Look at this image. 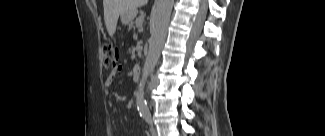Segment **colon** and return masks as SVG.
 I'll use <instances>...</instances> for the list:
<instances>
[{
	"label": "colon",
	"instance_id": "5ec220e1",
	"mask_svg": "<svg viewBox=\"0 0 325 136\" xmlns=\"http://www.w3.org/2000/svg\"><path fill=\"white\" fill-rule=\"evenodd\" d=\"M102 52L104 56V63L108 68H115L118 60V51L117 49L110 45L105 44L102 47Z\"/></svg>",
	"mask_w": 325,
	"mask_h": 136
}]
</instances>
